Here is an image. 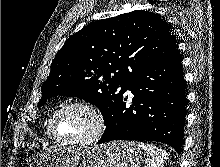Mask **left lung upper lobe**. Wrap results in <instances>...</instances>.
Masks as SVG:
<instances>
[{
  "mask_svg": "<svg viewBox=\"0 0 220 167\" xmlns=\"http://www.w3.org/2000/svg\"><path fill=\"white\" fill-rule=\"evenodd\" d=\"M176 48L170 26L152 12L93 22L56 54L38 107L54 96L78 97L99 107L106 123L129 80Z\"/></svg>",
  "mask_w": 220,
  "mask_h": 167,
  "instance_id": "1",
  "label": "left lung upper lobe"
}]
</instances>
